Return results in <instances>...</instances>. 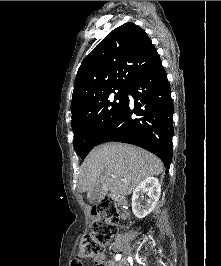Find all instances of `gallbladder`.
<instances>
[{
	"label": "gallbladder",
	"instance_id": "1",
	"mask_svg": "<svg viewBox=\"0 0 221 266\" xmlns=\"http://www.w3.org/2000/svg\"><path fill=\"white\" fill-rule=\"evenodd\" d=\"M106 194V191L103 189L102 184H98L87 193V196L92 201H97L101 199Z\"/></svg>",
	"mask_w": 221,
	"mask_h": 266
}]
</instances>
